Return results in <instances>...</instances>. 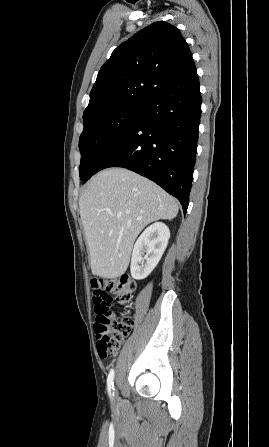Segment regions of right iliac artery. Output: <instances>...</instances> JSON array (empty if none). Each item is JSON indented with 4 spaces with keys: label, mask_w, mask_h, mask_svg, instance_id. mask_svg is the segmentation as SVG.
I'll use <instances>...</instances> for the list:
<instances>
[{
    "label": "right iliac artery",
    "mask_w": 269,
    "mask_h": 447,
    "mask_svg": "<svg viewBox=\"0 0 269 447\" xmlns=\"http://www.w3.org/2000/svg\"><path fill=\"white\" fill-rule=\"evenodd\" d=\"M113 380H114V370H111V372L109 373L108 378H107V386H108V392H109L110 397L114 396V392L112 393V389L114 390Z\"/></svg>",
    "instance_id": "right-iliac-artery-1"
}]
</instances>
